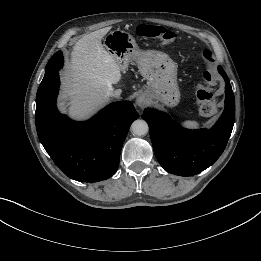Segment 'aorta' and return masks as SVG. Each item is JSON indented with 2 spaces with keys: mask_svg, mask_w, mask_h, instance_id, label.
I'll return each mask as SVG.
<instances>
[{
  "mask_svg": "<svg viewBox=\"0 0 261 261\" xmlns=\"http://www.w3.org/2000/svg\"><path fill=\"white\" fill-rule=\"evenodd\" d=\"M149 127L146 121L137 119L131 125V132L135 136H144L148 133Z\"/></svg>",
  "mask_w": 261,
  "mask_h": 261,
  "instance_id": "762f6f07",
  "label": "aorta"
}]
</instances>
